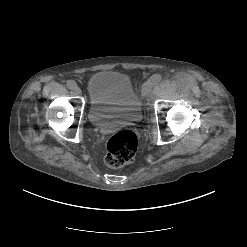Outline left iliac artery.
<instances>
[{"mask_svg": "<svg viewBox=\"0 0 247 247\" xmlns=\"http://www.w3.org/2000/svg\"><path fill=\"white\" fill-rule=\"evenodd\" d=\"M162 80V76L159 74L153 75L150 79H149V83L154 85L157 84L158 82H160Z\"/></svg>", "mask_w": 247, "mask_h": 247, "instance_id": "left-iliac-artery-1", "label": "left iliac artery"}]
</instances>
